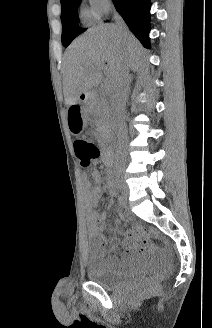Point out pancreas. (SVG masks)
I'll return each mask as SVG.
<instances>
[{"label": "pancreas", "mask_w": 212, "mask_h": 328, "mask_svg": "<svg viewBox=\"0 0 212 328\" xmlns=\"http://www.w3.org/2000/svg\"><path fill=\"white\" fill-rule=\"evenodd\" d=\"M92 113L96 118V131L98 139H107L111 134V119L107 112V106L103 100L97 99L92 104Z\"/></svg>", "instance_id": "1"}]
</instances>
